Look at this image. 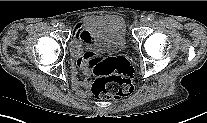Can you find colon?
<instances>
[{
  "label": "colon",
  "mask_w": 207,
  "mask_h": 123,
  "mask_svg": "<svg viewBox=\"0 0 207 123\" xmlns=\"http://www.w3.org/2000/svg\"><path fill=\"white\" fill-rule=\"evenodd\" d=\"M89 66L96 76L92 93L99 99L122 98L132 91L133 68L124 57H94Z\"/></svg>",
  "instance_id": "obj_1"
}]
</instances>
